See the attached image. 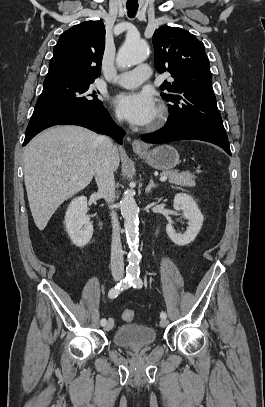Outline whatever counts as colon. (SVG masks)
Listing matches in <instances>:
<instances>
[{
	"label": "colon",
	"instance_id": "5ec220e1",
	"mask_svg": "<svg viewBox=\"0 0 265 407\" xmlns=\"http://www.w3.org/2000/svg\"><path fill=\"white\" fill-rule=\"evenodd\" d=\"M135 318H136V314H135V312H134L133 310H131V309H125V310L122 312V319H123L124 321H126V322H131V321L135 320Z\"/></svg>",
	"mask_w": 265,
	"mask_h": 407
}]
</instances>
